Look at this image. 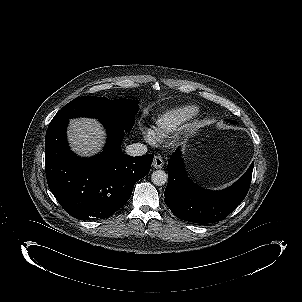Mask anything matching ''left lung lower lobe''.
<instances>
[{"label":"left lung lower lobe","mask_w":302,"mask_h":302,"mask_svg":"<svg viewBox=\"0 0 302 302\" xmlns=\"http://www.w3.org/2000/svg\"><path fill=\"white\" fill-rule=\"evenodd\" d=\"M254 162L232 186L221 191L205 190L194 184L177 149L168 161L169 181L164 201L172 213L185 221L213 223L227 217L245 198L251 183Z\"/></svg>","instance_id":"0a47b994"}]
</instances>
